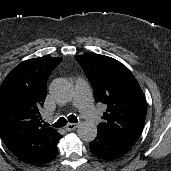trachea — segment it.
I'll return each mask as SVG.
<instances>
[{"label":"trachea","instance_id":"obj_1","mask_svg":"<svg viewBox=\"0 0 171 171\" xmlns=\"http://www.w3.org/2000/svg\"><path fill=\"white\" fill-rule=\"evenodd\" d=\"M68 121L70 123H76L78 121V119H77V117L75 115H69L68 116ZM45 124H46V126H48L47 123H45ZM66 124H67V120L64 117H61L52 126L59 128V127L65 126Z\"/></svg>","mask_w":171,"mask_h":171}]
</instances>
